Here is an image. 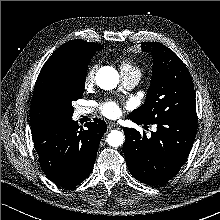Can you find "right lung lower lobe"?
Instances as JSON below:
<instances>
[{
  "label": "right lung lower lobe",
  "instance_id": "right-lung-lower-lobe-1",
  "mask_svg": "<svg viewBox=\"0 0 220 220\" xmlns=\"http://www.w3.org/2000/svg\"><path fill=\"white\" fill-rule=\"evenodd\" d=\"M79 129L71 118H52L32 128L39 163L46 176L57 185L72 188L91 173L98 146L107 126L94 119Z\"/></svg>",
  "mask_w": 220,
  "mask_h": 220
}]
</instances>
